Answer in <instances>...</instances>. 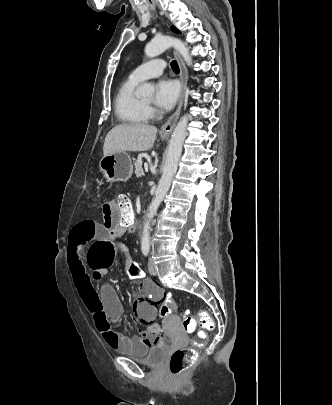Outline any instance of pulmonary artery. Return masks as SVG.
Here are the masks:
<instances>
[{"mask_svg":"<svg viewBox=\"0 0 332 405\" xmlns=\"http://www.w3.org/2000/svg\"><path fill=\"white\" fill-rule=\"evenodd\" d=\"M164 67L165 62L163 60H151L133 70L130 74V78L141 82L149 78L157 77L162 74Z\"/></svg>","mask_w":332,"mask_h":405,"instance_id":"e3ab8cb5","label":"pulmonary artery"}]
</instances>
